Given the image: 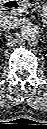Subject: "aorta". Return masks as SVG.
Instances as JSON below:
<instances>
[{
  "instance_id": "1",
  "label": "aorta",
  "mask_w": 47,
  "mask_h": 129,
  "mask_svg": "<svg viewBox=\"0 0 47 129\" xmlns=\"http://www.w3.org/2000/svg\"><path fill=\"white\" fill-rule=\"evenodd\" d=\"M20 33L22 38L28 42L35 41L40 36L39 27L36 24L31 22H27L24 25H22L20 29Z\"/></svg>"
}]
</instances>
